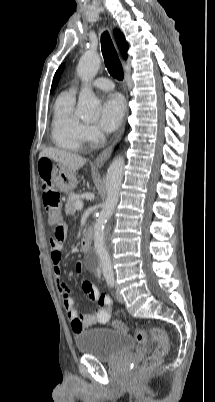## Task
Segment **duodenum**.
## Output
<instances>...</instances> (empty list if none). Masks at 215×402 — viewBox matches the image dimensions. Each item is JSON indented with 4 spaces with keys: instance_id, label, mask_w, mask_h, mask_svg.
<instances>
[{
    "instance_id": "1",
    "label": "duodenum",
    "mask_w": 215,
    "mask_h": 402,
    "mask_svg": "<svg viewBox=\"0 0 215 402\" xmlns=\"http://www.w3.org/2000/svg\"><path fill=\"white\" fill-rule=\"evenodd\" d=\"M92 236H93V233L91 230H88L84 233L82 241H81V247L84 252H88L90 250L91 245H92Z\"/></svg>"
}]
</instances>
